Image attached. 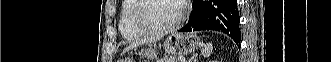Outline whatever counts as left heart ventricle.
Returning <instances> with one entry per match:
<instances>
[{
  "label": "left heart ventricle",
  "instance_id": "left-heart-ventricle-1",
  "mask_svg": "<svg viewBox=\"0 0 331 62\" xmlns=\"http://www.w3.org/2000/svg\"><path fill=\"white\" fill-rule=\"evenodd\" d=\"M180 11L177 0H149L142 17L152 26H167L175 21Z\"/></svg>",
  "mask_w": 331,
  "mask_h": 62
}]
</instances>
